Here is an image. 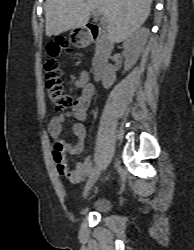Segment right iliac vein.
<instances>
[{"instance_id": "right-iliac-vein-1", "label": "right iliac vein", "mask_w": 194, "mask_h": 250, "mask_svg": "<svg viewBox=\"0 0 194 250\" xmlns=\"http://www.w3.org/2000/svg\"><path fill=\"white\" fill-rule=\"evenodd\" d=\"M99 177H100V167H96L92 172L91 176L89 177V180L85 186L84 195H87L89 193V191L95 185Z\"/></svg>"}]
</instances>
